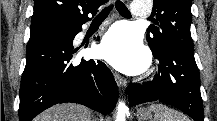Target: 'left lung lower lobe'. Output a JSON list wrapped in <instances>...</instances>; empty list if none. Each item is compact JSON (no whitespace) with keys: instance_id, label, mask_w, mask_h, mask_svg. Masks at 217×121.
Returning a JSON list of instances; mask_svg holds the SVG:
<instances>
[{"instance_id":"obj_1","label":"left lung lower lobe","mask_w":217,"mask_h":121,"mask_svg":"<svg viewBox=\"0 0 217 121\" xmlns=\"http://www.w3.org/2000/svg\"><path fill=\"white\" fill-rule=\"evenodd\" d=\"M152 53L159 61V71L152 81L130 84V106L160 101L180 109L195 121H203L200 76L194 51L172 44Z\"/></svg>"}]
</instances>
